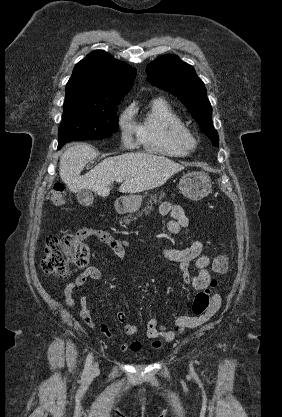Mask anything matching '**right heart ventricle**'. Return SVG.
<instances>
[{
    "label": "right heart ventricle",
    "mask_w": 282,
    "mask_h": 417,
    "mask_svg": "<svg viewBox=\"0 0 282 417\" xmlns=\"http://www.w3.org/2000/svg\"><path fill=\"white\" fill-rule=\"evenodd\" d=\"M129 118L134 119L136 133L141 144L147 149L167 155H181L171 132H165L163 126L169 122L172 126L180 125L178 117L162 98L154 99L146 112L139 117V110L132 106L128 112Z\"/></svg>",
    "instance_id": "right-heart-ventricle-1"
}]
</instances>
